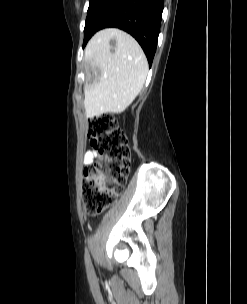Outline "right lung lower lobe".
<instances>
[{
	"mask_svg": "<svg viewBox=\"0 0 247 304\" xmlns=\"http://www.w3.org/2000/svg\"><path fill=\"white\" fill-rule=\"evenodd\" d=\"M163 8L164 0H97L86 18L83 47L98 30L120 28L139 42L151 66Z\"/></svg>",
	"mask_w": 247,
	"mask_h": 304,
	"instance_id": "obj_1",
	"label": "right lung lower lobe"
}]
</instances>
